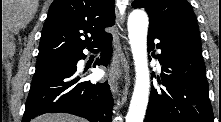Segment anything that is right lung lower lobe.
<instances>
[{
	"label": "right lung lower lobe",
	"mask_w": 221,
	"mask_h": 122,
	"mask_svg": "<svg viewBox=\"0 0 221 122\" xmlns=\"http://www.w3.org/2000/svg\"><path fill=\"white\" fill-rule=\"evenodd\" d=\"M111 41L109 34L88 48L93 51V48L101 45L104 49L95 65L107 66L112 54ZM84 58L82 52L66 65L34 74L22 122H29L49 112L70 113L90 122H111L113 98L108 82H79L76 64Z\"/></svg>",
	"instance_id": "right-lung-lower-lobe-1"
}]
</instances>
